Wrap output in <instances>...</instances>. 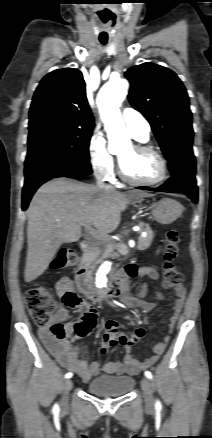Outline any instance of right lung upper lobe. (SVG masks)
I'll list each match as a JSON object with an SVG mask.
<instances>
[{
    "mask_svg": "<svg viewBox=\"0 0 212 438\" xmlns=\"http://www.w3.org/2000/svg\"><path fill=\"white\" fill-rule=\"evenodd\" d=\"M56 126L93 130L85 82L78 69H57L37 87L29 112V129Z\"/></svg>",
    "mask_w": 212,
    "mask_h": 438,
    "instance_id": "obj_1",
    "label": "right lung upper lobe"
}]
</instances>
